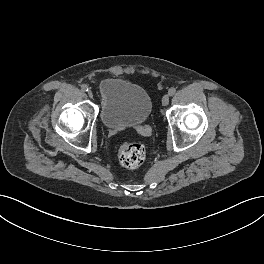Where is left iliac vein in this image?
Segmentation results:
<instances>
[{
	"instance_id": "obj_1",
	"label": "left iliac vein",
	"mask_w": 264,
	"mask_h": 264,
	"mask_svg": "<svg viewBox=\"0 0 264 264\" xmlns=\"http://www.w3.org/2000/svg\"><path fill=\"white\" fill-rule=\"evenodd\" d=\"M169 103V96L168 95H164L162 98V105L166 106Z\"/></svg>"
}]
</instances>
